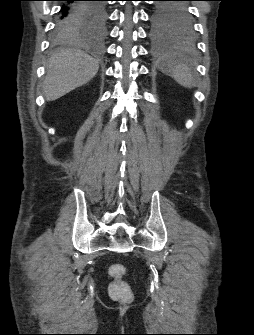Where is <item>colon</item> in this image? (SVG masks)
Segmentation results:
<instances>
[{"instance_id": "obj_1", "label": "colon", "mask_w": 254, "mask_h": 335, "mask_svg": "<svg viewBox=\"0 0 254 335\" xmlns=\"http://www.w3.org/2000/svg\"><path fill=\"white\" fill-rule=\"evenodd\" d=\"M109 275L112 282L108 286V292L114 299L127 301L131 298V291L128 285L123 281L125 268L120 264H114L109 267Z\"/></svg>"}]
</instances>
